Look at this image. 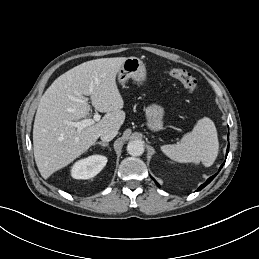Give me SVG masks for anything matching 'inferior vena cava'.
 Returning a JSON list of instances; mask_svg holds the SVG:
<instances>
[{
  "instance_id": "obj_1",
  "label": "inferior vena cava",
  "mask_w": 259,
  "mask_h": 259,
  "mask_svg": "<svg viewBox=\"0 0 259 259\" xmlns=\"http://www.w3.org/2000/svg\"><path fill=\"white\" fill-rule=\"evenodd\" d=\"M118 131L115 129H109V130H105L102 134H101V140L103 142H108L111 141L116 135H117Z\"/></svg>"
}]
</instances>
